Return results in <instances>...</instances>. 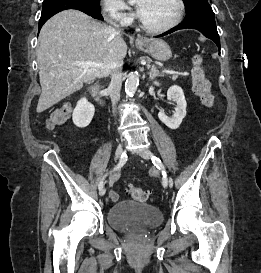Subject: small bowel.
Returning <instances> with one entry per match:
<instances>
[{
    "label": "small bowel",
    "mask_w": 261,
    "mask_h": 273,
    "mask_svg": "<svg viewBox=\"0 0 261 273\" xmlns=\"http://www.w3.org/2000/svg\"><path fill=\"white\" fill-rule=\"evenodd\" d=\"M71 110L72 107L70 104H66L61 108L55 109L50 115V117L47 119V127L50 130H53L56 126L65 125L67 123V120L69 119ZM109 196L112 201L118 200V194L114 190H111L109 192Z\"/></svg>",
    "instance_id": "c3829d8e"
}]
</instances>
